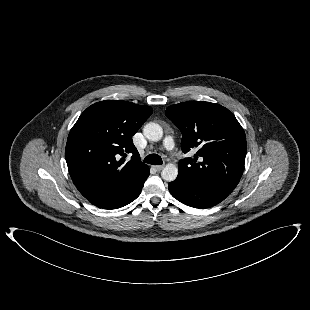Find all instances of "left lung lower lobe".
I'll list each match as a JSON object with an SVG mask.
<instances>
[{"mask_svg":"<svg viewBox=\"0 0 310 310\" xmlns=\"http://www.w3.org/2000/svg\"><path fill=\"white\" fill-rule=\"evenodd\" d=\"M170 193L180 202L194 208H209L219 204L230 193L194 183L180 176L169 183Z\"/></svg>","mask_w":310,"mask_h":310,"instance_id":"0a47b994","label":"left lung lower lobe"}]
</instances>
